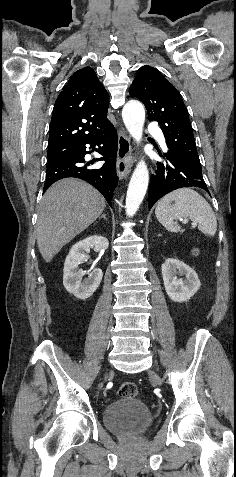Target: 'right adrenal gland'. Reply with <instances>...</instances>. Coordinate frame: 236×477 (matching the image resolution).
Here are the masks:
<instances>
[{
    "mask_svg": "<svg viewBox=\"0 0 236 477\" xmlns=\"http://www.w3.org/2000/svg\"><path fill=\"white\" fill-rule=\"evenodd\" d=\"M102 218H104L105 220H108L105 214H102V215L99 217V219H102Z\"/></svg>",
    "mask_w": 236,
    "mask_h": 477,
    "instance_id": "1",
    "label": "right adrenal gland"
}]
</instances>
